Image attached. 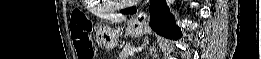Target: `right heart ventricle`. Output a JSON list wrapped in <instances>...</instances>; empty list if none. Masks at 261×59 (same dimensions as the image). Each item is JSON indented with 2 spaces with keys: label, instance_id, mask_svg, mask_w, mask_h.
I'll return each instance as SVG.
<instances>
[{
  "label": "right heart ventricle",
  "instance_id": "e07e8e85",
  "mask_svg": "<svg viewBox=\"0 0 261 59\" xmlns=\"http://www.w3.org/2000/svg\"><path fill=\"white\" fill-rule=\"evenodd\" d=\"M91 1H93V0H91ZM110 8L109 7H107V8H104V10H109Z\"/></svg>",
  "mask_w": 261,
  "mask_h": 59
}]
</instances>
